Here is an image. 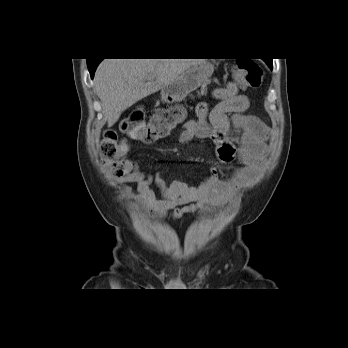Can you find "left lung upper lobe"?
Returning <instances> with one entry per match:
<instances>
[{
  "mask_svg": "<svg viewBox=\"0 0 348 348\" xmlns=\"http://www.w3.org/2000/svg\"><path fill=\"white\" fill-rule=\"evenodd\" d=\"M266 62H267V64L269 65V66H272V60L270 59V60H266Z\"/></svg>",
  "mask_w": 348,
  "mask_h": 348,
  "instance_id": "1",
  "label": "left lung upper lobe"
}]
</instances>
